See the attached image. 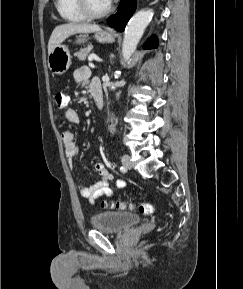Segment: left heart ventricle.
<instances>
[{
    "label": "left heart ventricle",
    "instance_id": "b2bd125f",
    "mask_svg": "<svg viewBox=\"0 0 243 289\" xmlns=\"http://www.w3.org/2000/svg\"><path fill=\"white\" fill-rule=\"evenodd\" d=\"M88 1L90 8L96 12L104 10L109 5L107 0H88Z\"/></svg>",
    "mask_w": 243,
    "mask_h": 289
}]
</instances>
